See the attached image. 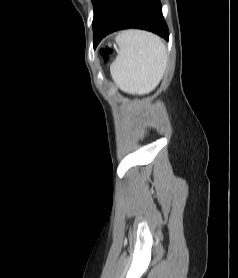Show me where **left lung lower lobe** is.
I'll list each match as a JSON object with an SVG mask.
<instances>
[{
  "label": "left lung lower lobe",
  "mask_w": 238,
  "mask_h": 278,
  "mask_svg": "<svg viewBox=\"0 0 238 278\" xmlns=\"http://www.w3.org/2000/svg\"><path fill=\"white\" fill-rule=\"evenodd\" d=\"M140 28L169 39L159 0H97L94 4V47L107 34Z\"/></svg>",
  "instance_id": "left-lung-lower-lobe-1"
}]
</instances>
